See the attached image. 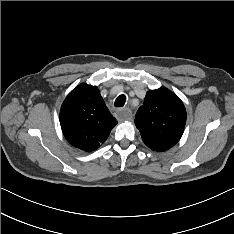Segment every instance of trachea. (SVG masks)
I'll list each match as a JSON object with an SVG mask.
<instances>
[{
  "instance_id": "trachea-1",
  "label": "trachea",
  "mask_w": 234,
  "mask_h": 234,
  "mask_svg": "<svg viewBox=\"0 0 234 234\" xmlns=\"http://www.w3.org/2000/svg\"><path fill=\"white\" fill-rule=\"evenodd\" d=\"M126 102V96L125 95H119L117 99L114 102L115 107H123Z\"/></svg>"
}]
</instances>
